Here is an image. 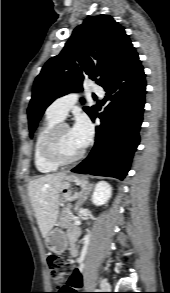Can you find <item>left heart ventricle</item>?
Segmentation results:
<instances>
[{"label": "left heart ventricle", "mask_w": 170, "mask_h": 293, "mask_svg": "<svg viewBox=\"0 0 170 293\" xmlns=\"http://www.w3.org/2000/svg\"><path fill=\"white\" fill-rule=\"evenodd\" d=\"M82 147L74 138L70 128H62L57 138V151L63 158H70L80 152Z\"/></svg>", "instance_id": "left-heart-ventricle-1"}]
</instances>
